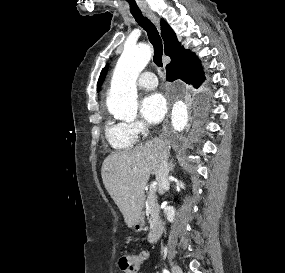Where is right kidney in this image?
<instances>
[{"instance_id":"1","label":"right kidney","mask_w":285,"mask_h":273,"mask_svg":"<svg viewBox=\"0 0 285 273\" xmlns=\"http://www.w3.org/2000/svg\"><path fill=\"white\" fill-rule=\"evenodd\" d=\"M180 187L184 188V184H182L181 182H180ZM166 212H167V219H168V221L169 222H173L174 216H175V209H174V207H172V206L166 207Z\"/></svg>"}]
</instances>
